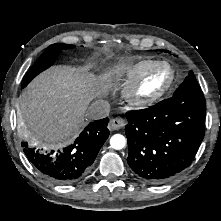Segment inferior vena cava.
<instances>
[{"label": "inferior vena cava", "instance_id": "obj_1", "mask_svg": "<svg viewBox=\"0 0 221 221\" xmlns=\"http://www.w3.org/2000/svg\"><path fill=\"white\" fill-rule=\"evenodd\" d=\"M110 112V104L106 100L98 99L93 101L87 109L86 116L93 120L107 117Z\"/></svg>", "mask_w": 221, "mask_h": 221}]
</instances>
